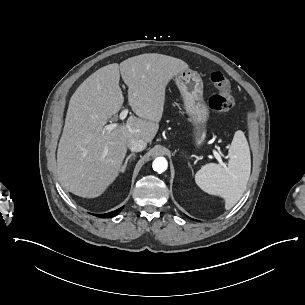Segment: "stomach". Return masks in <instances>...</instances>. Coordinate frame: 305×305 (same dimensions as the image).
<instances>
[{
	"label": "stomach",
	"mask_w": 305,
	"mask_h": 305,
	"mask_svg": "<svg viewBox=\"0 0 305 305\" xmlns=\"http://www.w3.org/2000/svg\"><path fill=\"white\" fill-rule=\"evenodd\" d=\"M176 85L183 97L184 108L195 126L198 141L203 142L205 123L209 117V109L203 100V81L197 71L191 69L181 71L175 78Z\"/></svg>",
	"instance_id": "stomach-1"
}]
</instances>
